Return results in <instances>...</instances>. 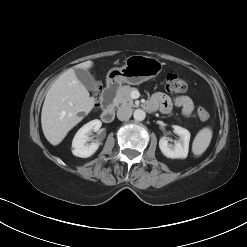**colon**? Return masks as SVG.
I'll use <instances>...</instances> for the list:
<instances>
[{
    "label": "colon",
    "mask_w": 247,
    "mask_h": 247,
    "mask_svg": "<svg viewBox=\"0 0 247 247\" xmlns=\"http://www.w3.org/2000/svg\"><path fill=\"white\" fill-rule=\"evenodd\" d=\"M165 87L168 91L173 93L185 92L188 88L186 81L177 73H168L165 76ZM198 116L201 120H208L210 117L209 111L204 108H198Z\"/></svg>",
    "instance_id": "1"
}]
</instances>
